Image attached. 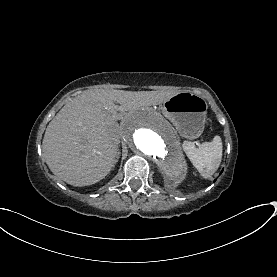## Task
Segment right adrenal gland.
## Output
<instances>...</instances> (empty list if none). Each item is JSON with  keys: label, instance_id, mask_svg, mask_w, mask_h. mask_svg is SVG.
I'll use <instances>...</instances> for the list:
<instances>
[{"label": "right adrenal gland", "instance_id": "obj_1", "mask_svg": "<svg viewBox=\"0 0 277 277\" xmlns=\"http://www.w3.org/2000/svg\"><path fill=\"white\" fill-rule=\"evenodd\" d=\"M120 155H121V153H120V151L118 150V151H117V156H116L115 164L118 163V160H119V158H120Z\"/></svg>", "mask_w": 277, "mask_h": 277}]
</instances>
